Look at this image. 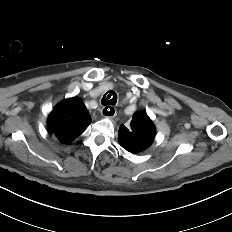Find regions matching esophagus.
I'll return each mask as SVG.
<instances>
[{
  "mask_svg": "<svg viewBox=\"0 0 232 232\" xmlns=\"http://www.w3.org/2000/svg\"><path fill=\"white\" fill-rule=\"evenodd\" d=\"M101 114L107 118H113L116 115V109L112 106H104L101 109Z\"/></svg>",
  "mask_w": 232,
  "mask_h": 232,
  "instance_id": "34e87169",
  "label": "esophagus"
}]
</instances>
